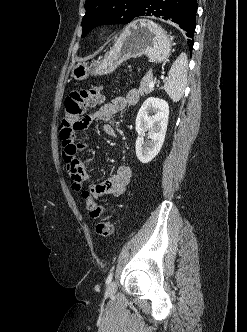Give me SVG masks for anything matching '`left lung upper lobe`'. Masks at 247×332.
<instances>
[{
    "instance_id": "5c2ea615",
    "label": "left lung upper lobe",
    "mask_w": 247,
    "mask_h": 332,
    "mask_svg": "<svg viewBox=\"0 0 247 332\" xmlns=\"http://www.w3.org/2000/svg\"><path fill=\"white\" fill-rule=\"evenodd\" d=\"M146 0H86L82 19V37L102 24H127L135 17Z\"/></svg>"
}]
</instances>
